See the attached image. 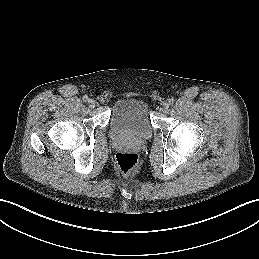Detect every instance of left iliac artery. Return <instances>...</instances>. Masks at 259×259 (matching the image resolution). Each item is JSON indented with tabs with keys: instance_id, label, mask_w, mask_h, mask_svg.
Returning a JSON list of instances; mask_svg holds the SVG:
<instances>
[{
	"instance_id": "left-iliac-artery-1",
	"label": "left iliac artery",
	"mask_w": 259,
	"mask_h": 259,
	"mask_svg": "<svg viewBox=\"0 0 259 259\" xmlns=\"http://www.w3.org/2000/svg\"><path fill=\"white\" fill-rule=\"evenodd\" d=\"M168 103H169L170 105H172V104L174 103V99H173V98H170V99L168 100Z\"/></svg>"
}]
</instances>
